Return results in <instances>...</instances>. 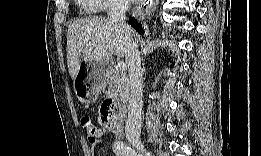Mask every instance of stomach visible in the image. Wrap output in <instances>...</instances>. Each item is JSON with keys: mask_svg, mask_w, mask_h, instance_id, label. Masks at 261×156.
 I'll return each mask as SVG.
<instances>
[{"mask_svg": "<svg viewBox=\"0 0 261 156\" xmlns=\"http://www.w3.org/2000/svg\"><path fill=\"white\" fill-rule=\"evenodd\" d=\"M108 63L104 61L86 62L85 75L82 70L74 80V90L78 99L87 105L94 103L99 91L104 87Z\"/></svg>", "mask_w": 261, "mask_h": 156, "instance_id": "obj_1", "label": "stomach"}]
</instances>
